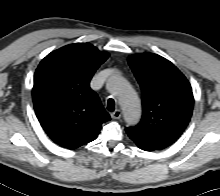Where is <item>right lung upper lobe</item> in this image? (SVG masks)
<instances>
[{
	"instance_id": "1",
	"label": "right lung upper lobe",
	"mask_w": 220,
	"mask_h": 196,
	"mask_svg": "<svg viewBox=\"0 0 220 196\" xmlns=\"http://www.w3.org/2000/svg\"><path fill=\"white\" fill-rule=\"evenodd\" d=\"M89 43H75L48 54L39 64L33 86L38 120L58 145L76 149L96 139L110 116L89 83L108 58Z\"/></svg>"
}]
</instances>
